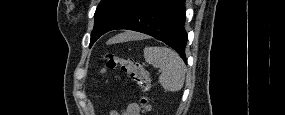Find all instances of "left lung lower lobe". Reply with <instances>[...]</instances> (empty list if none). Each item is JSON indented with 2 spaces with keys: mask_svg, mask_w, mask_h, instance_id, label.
Instances as JSON below:
<instances>
[{
  "mask_svg": "<svg viewBox=\"0 0 285 115\" xmlns=\"http://www.w3.org/2000/svg\"><path fill=\"white\" fill-rule=\"evenodd\" d=\"M185 0H131L108 24L105 33L129 29L172 47L186 62Z\"/></svg>",
  "mask_w": 285,
  "mask_h": 115,
  "instance_id": "0a47b994",
  "label": "left lung lower lobe"
}]
</instances>
